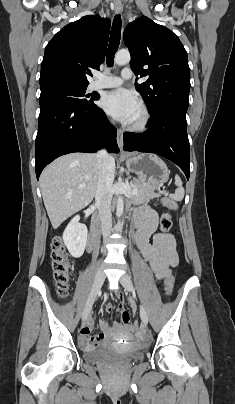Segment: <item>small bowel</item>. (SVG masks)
Here are the masks:
<instances>
[{
  "instance_id": "1",
  "label": "small bowel",
  "mask_w": 235,
  "mask_h": 404,
  "mask_svg": "<svg viewBox=\"0 0 235 404\" xmlns=\"http://www.w3.org/2000/svg\"><path fill=\"white\" fill-rule=\"evenodd\" d=\"M136 222L139 225L136 241L142 256L148 262L158 279L167 277L179 262L175 237L169 233H157L154 235L152 242L149 241L150 236L155 232L157 227V216L148 206L141 207ZM118 303L119 308L123 310V300L121 297L118 299ZM104 309L108 313H111L113 310L110 304H106ZM131 311L132 313L136 312L134 303L131 304ZM99 327L101 332L95 336L91 335L93 320L88 319L80 329L81 346L91 348L95 345H110L113 340H119L120 337L129 338L131 336L130 327L121 323H115L113 326H110L106 321L102 320L99 322Z\"/></svg>"
}]
</instances>
